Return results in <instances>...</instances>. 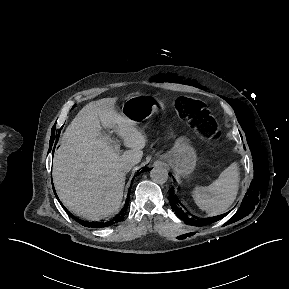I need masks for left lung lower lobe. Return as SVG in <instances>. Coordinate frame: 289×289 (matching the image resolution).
Here are the masks:
<instances>
[{"mask_svg":"<svg viewBox=\"0 0 289 289\" xmlns=\"http://www.w3.org/2000/svg\"><path fill=\"white\" fill-rule=\"evenodd\" d=\"M169 202L170 205L175 212L176 215H178L185 223L191 224V225H206L210 224L213 222H216L217 220L223 218L226 214L215 216V217H210V218H205V219H192L186 216V214L183 212L179 205V201L174 197L172 189L169 190Z\"/></svg>","mask_w":289,"mask_h":289,"instance_id":"obj_1","label":"left lung lower lobe"}]
</instances>
